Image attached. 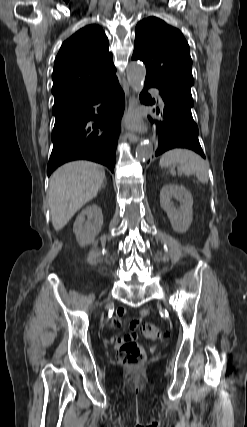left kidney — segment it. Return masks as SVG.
<instances>
[{
	"instance_id": "5707ae66",
	"label": "left kidney",
	"mask_w": 247,
	"mask_h": 427,
	"mask_svg": "<svg viewBox=\"0 0 247 427\" xmlns=\"http://www.w3.org/2000/svg\"><path fill=\"white\" fill-rule=\"evenodd\" d=\"M173 197L179 200L180 208L177 209L171 203ZM160 205L167 213L174 231H188L193 220V197L187 189L177 184H166L160 191Z\"/></svg>"
}]
</instances>
